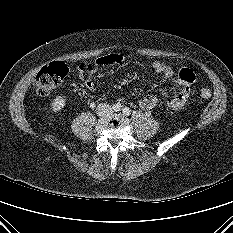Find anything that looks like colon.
I'll use <instances>...</instances> for the list:
<instances>
[{"instance_id": "colon-1", "label": "colon", "mask_w": 233, "mask_h": 233, "mask_svg": "<svg viewBox=\"0 0 233 233\" xmlns=\"http://www.w3.org/2000/svg\"><path fill=\"white\" fill-rule=\"evenodd\" d=\"M92 71V66H88L86 73ZM69 69L65 63L54 62L44 66L36 75L34 80L35 88L39 95L50 96L54 90L62 83L68 75ZM185 78L193 81L194 74L185 73ZM200 98L207 101L211 98V92L208 89H202Z\"/></svg>"}]
</instances>
